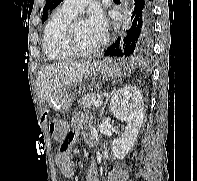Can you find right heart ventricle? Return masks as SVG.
I'll list each match as a JSON object with an SVG mask.
<instances>
[{
  "mask_svg": "<svg viewBox=\"0 0 197 181\" xmlns=\"http://www.w3.org/2000/svg\"><path fill=\"white\" fill-rule=\"evenodd\" d=\"M75 16L76 13L61 6L49 17L43 35V50L47 59L62 61L74 57L66 49L64 38L66 29Z\"/></svg>",
  "mask_w": 197,
  "mask_h": 181,
  "instance_id": "right-heart-ventricle-1",
  "label": "right heart ventricle"
}]
</instances>
